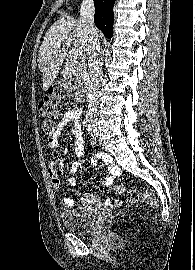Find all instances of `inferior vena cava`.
<instances>
[{"label": "inferior vena cava", "mask_w": 195, "mask_h": 270, "mask_svg": "<svg viewBox=\"0 0 195 270\" xmlns=\"http://www.w3.org/2000/svg\"><path fill=\"white\" fill-rule=\"evenodd\" d=\"M81 21L88 35L86 54L88 56L89 95L86 106V120L90 131H97L96 116L98 113L99 94L103 80L100 43L93 24L94 1L83 0L80 9Z\"/></svg>", "instance_id": "602c4592"}]
</instances>
